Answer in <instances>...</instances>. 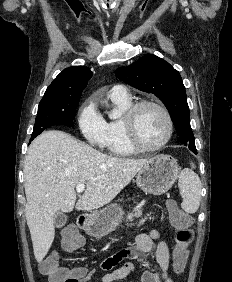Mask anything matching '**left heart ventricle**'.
Masks as SVG:
<instances>
[{"instance_id": "left-heart-ventricle-1", "label": "left heart ventricle", "mask_w": 232, "mask_h": 282, "mask_svg": "<svg viewBox=\"0 0 232 282\" xmlns=\"http://www.w3.org/2000/svg\"><path fill=\"white\" fill-rule=\"evenodd\" d=\"M136 129L140 141L145 145L153 146L165 138L167 123L158 109L147 106L137 115Z\"/></svg>"}]
</instances>
